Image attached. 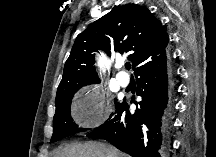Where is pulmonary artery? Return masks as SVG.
I'll return each mask as SVG.
<instances>
[{
  "label": "pulmonary artery",
  "mask_w": 216,
  "mask_h": 157,
  "mask_svg": "<svg viewBox=\"0 0 216 157\" xmlns=\"http://www.w3.org/2000/svg\"><path fill=\"white\" fill-rule=\"evenodd\" d=\"M116 79L118 83L123 87L127 86L130 82L129 76L125 72H122V71L117 73Z\"/></svg>",
  "instance_id": "obj_1"
}]
</instances>
